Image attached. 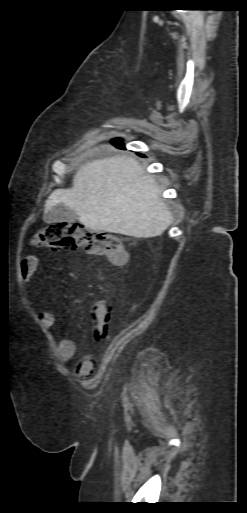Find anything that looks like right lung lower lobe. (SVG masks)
Here are the masks:
<instances>
[{"label": "right lung lower lobe", "instance_id": "98d812e1", "mask_svg": "<svg viewBox=\"0 0 247 513\" xmlns=\"http://www.w3.org/2000/svg\"><path fill=\"white\" fill-rule=\"evenodd\" d=\"M112 143L115 144L119 148H123L121 140H119V139L113 140Z\"/></svg>", "mask_w": 247, "mask_h": 513}]
</instances>
